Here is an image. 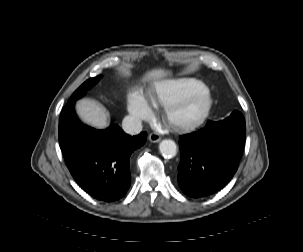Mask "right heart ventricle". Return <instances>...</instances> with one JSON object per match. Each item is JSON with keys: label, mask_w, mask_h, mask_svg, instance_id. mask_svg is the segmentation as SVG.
I'll return each instance as SVG.
<instances>
[{"label": "right heart ventricle", "mask_w": 303, "mask_h": 252, "mask_svg": "<svg viewBox=\"0 0 303 252\" xmlns=\"http://www.w3.org/2000/svg\"><path fill=\"white\" fill-rule=\"evenodd\" d=\"M197 87V83L169 82L164 84L156 94H149L148 98L153 104L160 103L168 106L184 100Z\"/></svg>", "instance_id": "obj_1"}]
</instances>
